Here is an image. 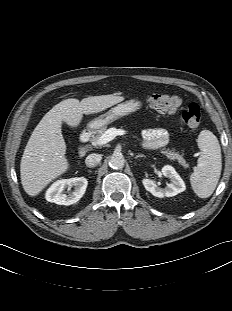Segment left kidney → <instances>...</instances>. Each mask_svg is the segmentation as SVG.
Wrapping results in <instances>:
<instances>
[{
  "label": "left kidney",
  "instance_id": "left-kidney-1",
  "mask_svg": "<svg viewBox=\"0 0 232 311\" xmlns=\"http://www.w3.org/2000/svg\"><path fill=\"white\" fill-rule=\"evenodd\" d=\"M162 174L170 179V183L165 188H160L156 183L151 180L144 178L142 183L147 191L158 198L172 197L185 191L186 186L180 175L170 165H165L162 168Z\"/></svg>",
  "mask_w": 232,
  "mask_h": 311
}]
</instances>
